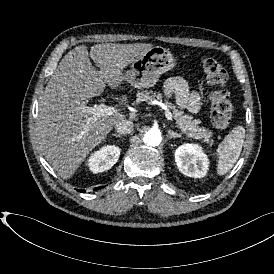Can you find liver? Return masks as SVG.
I'll return each mask as SVG.
<instances>
[{"instance_id":"6515ba94","label":"liver","mask_w":274,"mask_h":274,"mask_svg":"<svg viewBox=\"0 0 274 274\" xmlns=\"http://www.w3.org/2000/svg\"><path fill=\"white\" fill-rule=\"evenodd\" d=\"M151 48L153 45L146 43H101L88 50L83 44L62 58L39 99L36 128L43 155L60 177L71 179L116 123L127 117L115 112L94 119L80 107L101 95L106 85L111 90L123 91L125 68ZM90 59L99 71L92 67ZM116 101L120 111L129 105L125 95Z\"/></svg>"}]
</instances>
